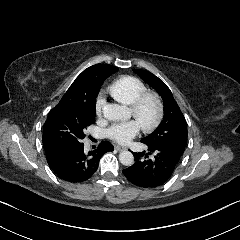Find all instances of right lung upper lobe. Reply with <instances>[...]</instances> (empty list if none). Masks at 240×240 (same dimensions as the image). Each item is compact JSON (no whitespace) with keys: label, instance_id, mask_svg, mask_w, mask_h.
I'll return each instance as SVG.
<instances>
[{"label":"right lung upper lobe","instance_id":"1","mask_svg":"<svg viewBox=\"0 0 240 240\" xmlns=\"http://www.w3.org/2000/svg\"><path fill=\"white\" fill-rule=\"evenodd\" d=\"M117 70V67L106 64H97L85 69L70 86L59 104L96 99L104 80Z\"/></svg>","mask_w":240,"mask_h":240}]
</instances>
